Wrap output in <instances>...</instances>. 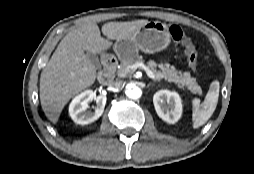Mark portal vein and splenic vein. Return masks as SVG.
<instances>
[{"instance_id":"portal-vein-and-splenic-vein-1","label":"portal vein and splenic vein","mask_w":254,"mask_h":174,"mask_svg":"<svg viewBox=\"0 0 254 174\" xmlns=\"http://www.w3.org/2000/svg\"><path fill=\"white\" fill-rule=\"evenodd\" d=\"M137 68L143 69L149 78L156 80L155 74L142 62H137L128 67V69L135 71Z\"/></svg>"}]
</instances>
